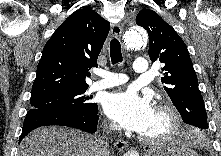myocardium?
Listing matches in <instances>:
<instances>
[{
    "label": "myocardium",
    "instance_id": "myocardium-1",
    "mask_svg": "<svg viewBox=\"0 0 221 156\" xmlns=\"http://www.w3.org/2000/svg\"><path fill=\"white\" fill-rule=\"evenodd\" d=\"M156 110L166 116L168 123L166 130L161 134L154 136L140 135V140L150 145L161 144L171 140L178 133L180 128V116L174 106L167 102H160L156 106Z\"/></svg>",
    "mask_w": 221,
    "mask_h": 156
}]
</instances>
